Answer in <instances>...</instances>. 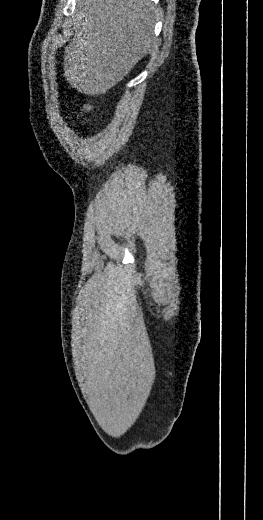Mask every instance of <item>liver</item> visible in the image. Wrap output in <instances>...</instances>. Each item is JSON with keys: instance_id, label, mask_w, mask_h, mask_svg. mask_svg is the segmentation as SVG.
<instances>
[{"instance_id": "1", "label": "liver", "mask_w": 263, "mask_h": 520, "mask_svg": "<svg viewBox=\"0 0 263 520\" xmlns=\"http://www.w3.org/2000/svg\"><path fill=\"white\" fill-rule=\"evenodd\" d=\"M152 0H79L77 30L65 48L64 77L87 95L105 94L155 45Z\"/></svg>"}]
</instances>
